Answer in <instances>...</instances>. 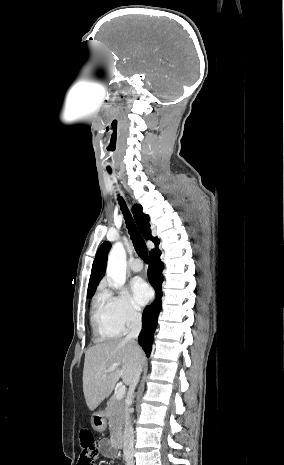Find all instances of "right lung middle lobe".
Segmentation results:
<instances>
[{
  "label": "right lung middle lobe",
  "mask_w": 284,
  "mask_h": 465,
  "mask_svg": "<svg viewBox=\"0 0 284 465\" xmlns=\"http://www.w3.org/2000/svg\"><path fill=\"white\" fill-rule=\"evenodd\" d=\"M92 296H93V295H88L87 297H88V298H91Z\"/></svg>",
  "instance_id": "right-lung-middle-lobe-1"
}]
</instances>
